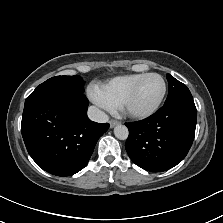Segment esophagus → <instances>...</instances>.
Listing matches in <instances>:
<instances>
[{"instance_id":"34e87169","label":"esophagus","mask_w":223,"mask_h":223,"mask_svg":"<svg viewBox=\"0 0 223 223\" xmlns=\"http://www.w3.org/2000/svg\"><path fill=\"white\" fill-rule=\"evenodd\" d=\"M109 124H110V128L112 129V128H114L116 125L120 124V122L117 121V120L112 119V120H110Z\"/></svg>"}]
</instances>
